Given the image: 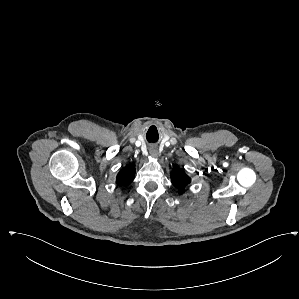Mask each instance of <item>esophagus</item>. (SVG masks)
<instances>
[{
  "mask_svg": "<svg viewBox=\"0 0 299 299\" xmlns=\"http://www.w3.org/2000/svg\"><path fill=\"white\" fill-rule=\"evenodd\" d=\"M150 153L152 154V156H157V151L156 150H154V149H152V150H150Z\"/></svg>",
  "mask_w": 299,
  "mask_h": 299,
  "instance_id": "1",
  "label": "esophagus"
}]
</instances>
